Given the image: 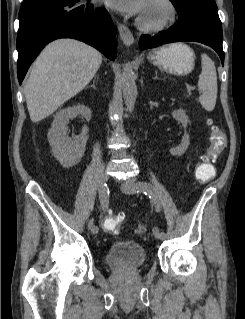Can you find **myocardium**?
<instances>
[{
  "instance_id": "obj_1",
  "label": "myocardium",
  "mask_w": 245,
  "mask_h": 319,
  "mask_svg": "<svg viewBox=\"0 0 245 319\" xmlns=\"http://www.w3.org/2000/svg\"><path fill=\"white\" fill-rule=\"evenodd\" d=\"M148 3H160L166 10V16L160 21L150 22L145 20L142 16L137 19V26L145 32H160L175 23L178 12L177 7L172 0H148Z\"/></svg>"
}]
</instances>
